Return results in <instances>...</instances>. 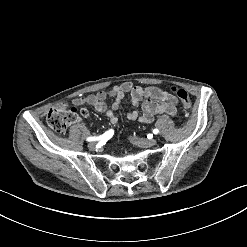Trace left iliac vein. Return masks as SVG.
<instances>
[{"label": "left iliac vein", "mask_w": 247, "mask_h": 247, "mask_svg": "<svg viewBox=\"0 0 247 247\" xmlns=\"http://www.w3.org/2000/svg\"><path fill=\"white\" fill-rule=\"evenodd\" d=\"M129 140L132 143H135L139 147H143V148H148V147H151V146L156 144V140L155 139L130 137Z\"/></svg>", "instance_id": "4c4485c4"}]
</instances>
